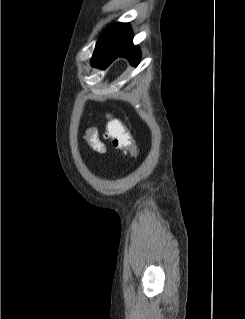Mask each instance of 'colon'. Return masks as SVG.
Instances as JSON below:
<instances>
[{"instance_id":"5ec220e1","label":"colon","mask_w":245,"mask_h":319,"mask_svg":"<svg viewBox=\"0 0 245 319\" xmlns=\"http://www.w3.org/2000/svg\"><path fill=\"white\" fill-rule=\"evenodd\" d=\"M104 136L111 140L112 146L119 151L135 155L137 146L129 129L119 120H108L104 127Z\"/></svg>"}]
</instances>
